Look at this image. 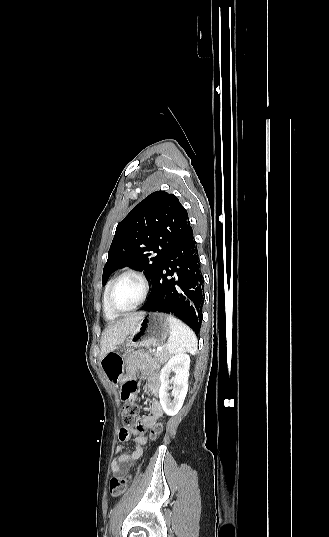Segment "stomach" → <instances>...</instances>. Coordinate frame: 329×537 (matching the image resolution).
<instances>
[{
  "instance_id": "1",
  "label": "stomach",
  "mask_w": 329,
  "mask_h": 537,
  "mask_svg": "<svg viewBox=\"0 0 329 537\" xmlns=\"http://www.w3.org/2000/svg\"><path fill=\"white\" fill-rule=\"evenodd\" d=\"M169 318V315L159 312L143 313L133 331L121 343L120 348L116 347L100 360V366L110 382L116 383L122 377L121 347L163 344L171 333Z\"/></svg>"
}]
</instances>
